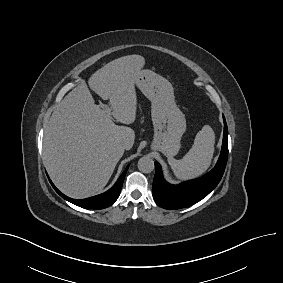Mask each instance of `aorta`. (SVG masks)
I'll return each instance as SVG.
<instances>
[{
  "instance_id": "762f6f07",
  "label": "aorta",
  "mask_w": 283,
  "mask_h": 283,
  "mask_svg": "<svg viewBox=\"0 0 283 283\" xmlns=\"http://www.w3.org/2000/svg\"><path fill=\"white\" fill-rule=\"evenodd\" d=\"M154 161L149 156H143L138 161V169L143 173H150L154 170Z\"/></svg>"
}]
</instances>
